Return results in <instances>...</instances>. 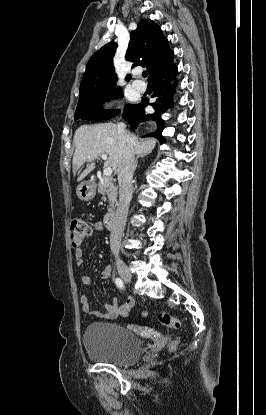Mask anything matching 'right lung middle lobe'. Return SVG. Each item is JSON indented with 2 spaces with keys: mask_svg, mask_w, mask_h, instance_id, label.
Listing matches in <instances>:
<instances>
[{
  "mask_svg": "<svg viewBox=\"0 0 266 415\" xmlns=\"http://www.w3.org/2000/svg\"><path fill=\"white\" fill-rule=\"evenodd\" d=\"M118 97H122V88L120 87L79 97L74 119L94 121L111 119L116 116L119 111L104 110L101 104L105 101ZM130 106H132V104L127 105L124 110Z\"/></svg>",
  "mask_w": 266,
  "mask_h": 415,
  "instance_id": "obj_1",
  "label": "right lung middle lobe"
}]
</instances>
